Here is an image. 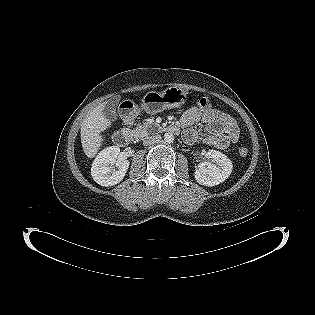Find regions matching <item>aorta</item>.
<instances>
[{
  "instance_id": "762f6f07",
  "label": "aorta",
  "mask_w": 315,
  "mask_h": 315,
  "mask_svg": "<svg viewBox=\"0 0 315 315\" xmlns=\"http://www.w3.org/2000/svg\"><path fill=\"white\" fill-rule=\"evenodd\" d=\"M164 140L167 143H172L174 141V135L172 133H165Z\"/></svg>"
}]
</instances>
